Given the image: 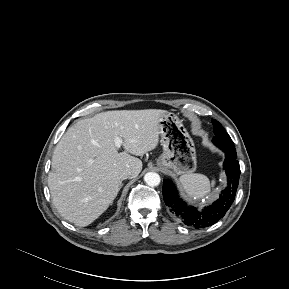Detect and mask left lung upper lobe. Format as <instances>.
Here are the masks:
<instances>
[{
	"label": "left lung upper lobe",
	"mask_w": 289,
	"mask_h": 289,
	"mask_svg": "<svg viewBox=\"0 0 289 289\" xmlns=\"http://www.w3.org/2000/svg\"><path fill=\"white\" fill-rule=\"evenodd\" d=\"M214 126L213 143L220 148H235L229 134L225 131L223 126L216 120H211Z\"/></svg>",
	"instance_id": "left-lung-upper-lobe-1"
}]
</instances>
